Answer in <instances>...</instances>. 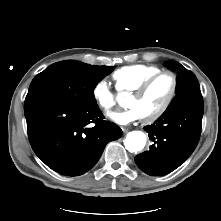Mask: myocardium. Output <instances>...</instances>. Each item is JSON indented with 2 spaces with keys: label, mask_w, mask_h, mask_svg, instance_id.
<instances>
[{
  "label": "myocardium",
  "mask_w": 221,
  "mask_h": 221,
  "mask_svg": "<svg viewBox=\"0 0 221 221\" xmlns=\"http://www.w3.org/2000/svg\"><path fill=\"white\" fill-rule=\"evenodd\" d=\"M163 75H169L171 77V89H170L169 95H168L166 101L164 102V104L157 111H155L153 114H151L149 116L142 117V120L145 123L155 122L156 120L161 118L167 112V110L170 108V106L172 105V103L176 97V94H177L178 77L171 70L159 71L158 73L152 75L147 80H145L137 89L132 91V95H134V96L140 97V96L145 95L147 93V91L150 89V87L153 85V83Z\"/></svg>",
  "instance_id": "myocardium-1"
}]
</instances>
